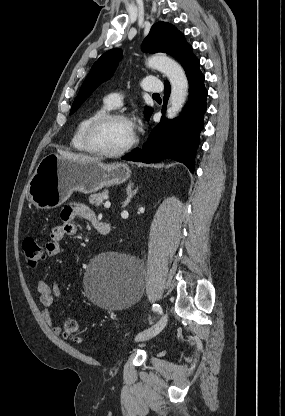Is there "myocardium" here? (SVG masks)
<instances>
[{
    "label": "myocardium",
    "instance_id": "myocardium-1",
    "mask_svg": "<svg viewBox=\"0 0 285 416\" xmlns=\"http://www.w3.org/2000/svg\"><path fill=\"white\" fill-rule=\"evenodd\" d=\"M112 120H121L129 124L127 117L122 113L107 111L94 117L86 126L84 140L88 149L92 153L105 157H119L127 153L134 145L135 140L133 135L131 136L129 142L123 148L118 150H107L97 143L95 139L96 131L101 125Z\"/></svg>",
    "mask_w": 285,
    "mask_h": 416
}]
</instances>
